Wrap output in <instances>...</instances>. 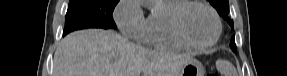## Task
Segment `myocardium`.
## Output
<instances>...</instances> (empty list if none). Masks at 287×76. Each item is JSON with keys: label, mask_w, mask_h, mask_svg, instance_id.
Here are the masks:
<instances>
[{"label": "myocardium", "mask_w": 287, "mask_h": 76, "mask_svg": "<svg viewBox=\"0 0 287 76\" xmlns=\"http://www.w3.org/2000/svg\"><path fill=\"white\" fill-rule=\"evenodd\" d=\"M193 6L197 7H202L206 9L213 17L215 24H216V32L213 36V38L204 44H198L192 42L187 35L185 34L183 27H182V18L185 12ZM171 28L176 36V38L186 47V48H191V49H196V50H204L211 48L216 44L218 39L221 36L222 33V22L221 19L218 15V13L215 11L214 8H212L210 5H208L205 2L201 1H189V0H184L172 13L171 16Z\"/></svg>", "instance_id": "obj_1"}]
</instances>
